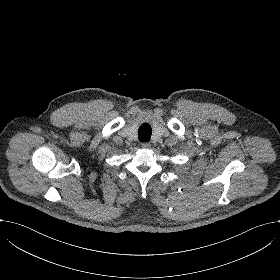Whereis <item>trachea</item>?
<instances>
[{"instance_id":"1","label":"trachea","mask_w":280,"mask_h":280,"mask_svg":"<svg viewBox=\"0 0 280 280\" xmlns=\"http://www.w3.org/2000/svg\"><path fill=\"white\" fill-rule=\"evenodd\" d=\"M152 134L151 126L148 123H144L140 126L138 130L139 140L143 142H147L150 140Z\"/></svg>"}]
</instances>
